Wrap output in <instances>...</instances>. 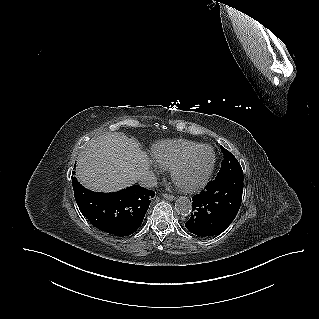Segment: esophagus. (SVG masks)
Here are the masks:
<instances>
[{"label": "esophagus", "mask_w": 319, "mask_h": 319, "mask_svg": "<svg viewBox=\"0 0 319 319\" xmlns=\"http://www.w3.org/2000/svg\"><path fill=\"white\" fill-rule=\"evenodd\" d=\"M163 197H164L166 200H169V201L175 200V196L170 195V194H163Z\"/></svg>", "instance_id": "esophagus-1"}]
</instances>
